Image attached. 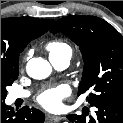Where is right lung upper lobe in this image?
<instances>
[{"mask_svg":"<svg viewBox=\"0 0 123 123\" xmlns=\"http://www.w3.org/2000/svg\"><path fill=\"white\" fill-rule=\"evenodd\" d=\"M53 23L31 17L1 19V70L19 67V56L26 45L47 32Z\"/></svg>","mask_w":123,"mask_h":123,"instance_id":"cb5924a9","label":"right lung upper lobe"}]
</instances>
